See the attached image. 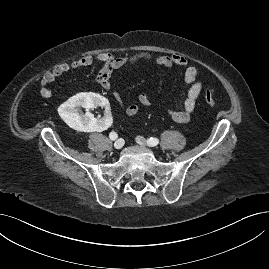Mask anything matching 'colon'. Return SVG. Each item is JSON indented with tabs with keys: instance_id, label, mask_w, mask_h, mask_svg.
<instances>
[{
	"instance_id": "obj_1",
	"label": "colon",
	"mask_w": 269,
	"mask_h": 269,
	"mask_svg": "<svg viewBox=\"0 0 269 269\" xmlns=\"http://www.w3.org/2000/svg\"><path fill=\"white\" fill-rule=\"evenodd\" d=\"M203 100L209 105H214L216 103L215 92L212 88H206L203 91Z\"/></svg>"
}]
</instances>
